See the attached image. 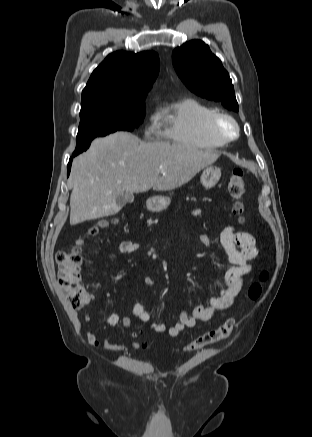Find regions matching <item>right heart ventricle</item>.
Segmentation results:
<instances>
[{"mask_svg": "<svg viewBox=\"0 0 312 437\" xmlns=\"http://www.w3.org/2000/svg\"><path fill=\"white\" fill-rule=\"evenodd\" d=\"M214 110L194 98L172 104L161 117V138L169 143L204 148H221L225 143L209 134L206 120Z\"/></svg>", "mask_w": 312, "mask_h": 437, "instance_id": "right-heart-ventricle-1", "label": "right heart ventricle"}]
</instances>
